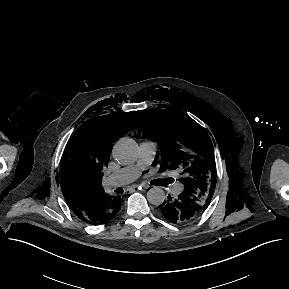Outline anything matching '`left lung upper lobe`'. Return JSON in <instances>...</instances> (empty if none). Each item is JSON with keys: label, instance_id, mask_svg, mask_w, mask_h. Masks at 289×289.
<instances>
[{"label": "left lung upper lobe", "instance_id": "1", "mask_svg": "<svg viewBox=\"0 0 289 289\" xmlns=\"http://www.w3.org/2000/svg\"><path fill=\"white\" fill-rule=\"evenodd\" d=\"M140 136L156 141L162 149L163 170H178L184 190L201 192L210 203L215 188L213 144L206 131L182 110L153 109L140 113Z\"/></svg>", "mask_w": 289, "mask_h": 289}]
</instances>
